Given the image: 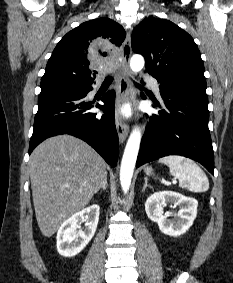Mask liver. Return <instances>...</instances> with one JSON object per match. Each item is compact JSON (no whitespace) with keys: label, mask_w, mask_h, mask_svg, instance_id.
Listing matches in <instances>:
<instances>
[{"label":"liver","mask_w":233,"mask_h":283,"mask_svg":"<svg viewBox=\"0 0 233 283\" xmlns=\"http://www.w3.org/2000/svg\"><path fill=\"white\" fill-rule=\"evenodd\" d=\"M29 172L38 226L51 237L90 202L104 180L106 163L84 141L58 135L34 149Z\"/></svg>","instance_id":"1"}]
</instances>
